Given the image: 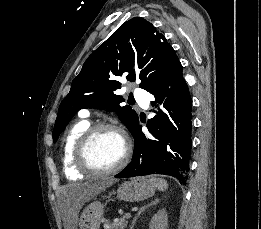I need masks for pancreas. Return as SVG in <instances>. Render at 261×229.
<instances>
[{
  "mask_svg": "<svg viewBox=\"0 0 261 229\" xmlns=\"http://www.w3.org/2000/svg\"><path fill=\"white\" fill-rule=\"evenodd\" d=\"M128 225V221L126 217H122V219H114L113 223H107L106 227L109 229H126Z\"/></svg>",
  "mask_w": 261,
  "mask_h": 229,
  "instance_id": "obj_1",
  "label": "pancreas"
}]
</instances>
